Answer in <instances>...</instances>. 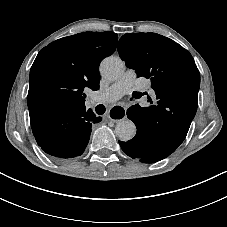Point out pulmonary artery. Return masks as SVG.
Listing matches in <instances>:
<instances>
[{"label": "pulmonary artery", "instance_id": "obj_1", "mask_svg": "<svg viewBox=\"0 0 227 227\" xmlns=\"http://www.w3.org/2000/svg\"><path fill=\"white\" fill-rule=\"evenodd\" d=\"M135 86L137 89L144 92H149L155 97V92L152 89V84L144 79H137L134 70H127L124 75L113 83L110 87L98 90L93 93L91 99L93 102L109 104L119 100L125 94L131 92Z\"/></svg>", "mask_w": 227, "mask_h": 227}]
</instances>
